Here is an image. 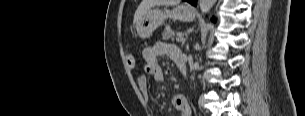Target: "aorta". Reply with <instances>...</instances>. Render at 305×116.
I'll return each instance as SVG.
<instances>
[{
    "mask_svg": "<svg viewBox=\"0 0 305 116\" xmlns=\"http://www.w3.org/2000/svg\"><path fill=\"white\" fill-rule=\"evenodd\" d=\"M216 0H200V9L202 13L207 14L213 5L215 4Z\"/></svg>",
    "mask_w": 305,
    "mask_h": 116,
    "instance_id": "1",
    "label": "aorta"
}]
</instances>
